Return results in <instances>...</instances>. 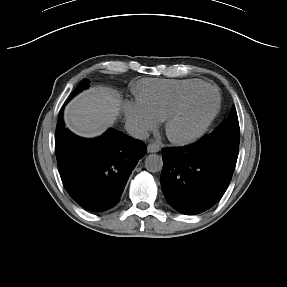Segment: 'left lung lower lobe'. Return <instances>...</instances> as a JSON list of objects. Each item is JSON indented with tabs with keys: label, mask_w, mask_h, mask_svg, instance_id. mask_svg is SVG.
<instances>
[{
	"label": "left lung lower lobe",
	"mask_w": 287,
	"mask_h": 287,
	"mask_svg": "<svg viewBox=\"0 0 287 287\" xmlns=\"http://www.w3.org/2000/svg\"><path fill=\"white\" fill-rule=\"evenodd\" d=\"M238 148L209 134L189 146L162 149L160 181L167 202L189 215L211 208L231 181Z\"/></svg>",
	"instance_id": "1"
}]
</instances>
